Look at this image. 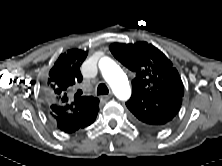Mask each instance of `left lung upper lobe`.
Wrapping results in <instances>:
<instances>
[{"instance_id":"1","label":"left lung upper lobe","mask_w":222,"mask_h":166,"mask_svg":"<svg viewBox=\"0 0 222 166\" xmlns=\"http://www.w3.org/2000/svg\"><path fill=\"white\" fill-rule=\"evenodd\" d=\"M115 58L135 72L132 95L154 98L159 94L184 95V86L171 61L147 42L114 43L109 47Z\"/></svg>"}]
</instances>
